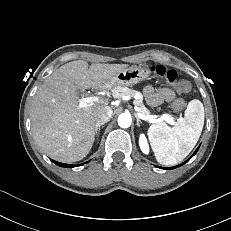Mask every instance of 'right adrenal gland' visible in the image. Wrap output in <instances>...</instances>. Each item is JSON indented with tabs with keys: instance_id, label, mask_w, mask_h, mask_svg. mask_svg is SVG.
<instances>
[{
	"instance_id": "right-adrenal-gland-1",
	"label": "right adrenal gland",
	"mask_w": 231,
	"mask_h": 231,
	"mask_svg": "<svg viewBox=\"0 0 231 231\" xmlns=\"http://www.w3.org/2000/svg\"><path fill=\"white\" fill-rule=\"evenodd\" d=\"M103 125H104V123L96 125V135H97V137L99 136V133H100V127L103 126Z\"/></svg>"
}]
</instances>
